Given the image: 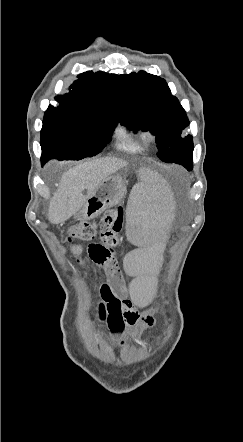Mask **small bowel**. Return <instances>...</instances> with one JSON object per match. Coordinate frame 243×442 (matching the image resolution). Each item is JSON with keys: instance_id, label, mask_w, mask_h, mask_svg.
I'll use <instances>...</instances> for the list:
<instances>
[{"instance_id": "c3829d8e", "label": "small bowel", "mask_w": 243, "mask_h": 442, "mask_svg": "<svg viewBox=\"0 0 243 442\" xmlns=\"http://www.w3.org/2000/svg\"><path fill=\"white\" fill-rule=\"evenodd\" d=\"M93 262L102 267L108 277L100 286L97 319L108 326L112 340L124 347L129 339L138 340L145 330L155 325L154 315L152 312L138 314L126 298L127 290L116 257L110 263Z\"/></svg>"}]
</instances>
